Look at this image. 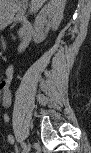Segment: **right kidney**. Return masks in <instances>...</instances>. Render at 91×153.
<instances>
[{
    "label": "right kidney",
    "mask_w": 91,
    "mask_h": 153,
    "mask_svg": "<svg viewBox=\"0 0 91 153\" xmlns=\"http://www.w3.org/2000/svg\"><path fill=\"white\" fill-rule=\"evenodd\" d=\"M65 7V0H50L39 12L35 18L33 39L39 44L46 38V32H43V27L47 24V17L49 18V25L53 30H57L63 18Z\"/></svg>",
    "instance_id": "ca27d5eb"
}]
</instances>
